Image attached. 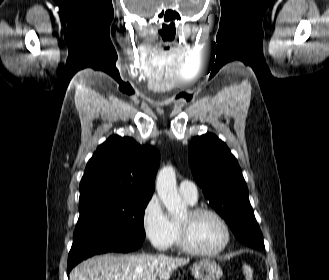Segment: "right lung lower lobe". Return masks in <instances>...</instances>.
<instances>
[{
	"label": "right lung lower lobe",
	"instance_id": "right-lung-lower-lobe-1",
	"mask_svg": "<svg viewBox=\"0 0 329 280\" xmlns=\"http://www.w3.org/2000/svg\"><path fill=\"white\" fill-rule=\"evenodd\" d=\"M130 251H134L131 248H126V247H120V246H115V245H110V244H101L98 246H94L90 249H88L87 251L82 252L80 255H78L74 261L72 263L68 264L67 267V274H69V272L71 271V269L77 265L79 262L93 256L96 254H102V253H107V252H122V253H126V252H130Z\"/></svg>",
	"mask_w": 329,
	"mask_h": 280
}]
</instances>
